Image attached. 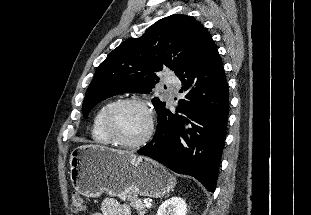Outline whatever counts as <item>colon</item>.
Masks as SVG:
<instances>
[{"mask_svg": "<svg viewBox=\"0 0 311 215\" xmlns=\"http://www.w3.org/2000/svg\"><path fill=\"white\" fill-rule=\"evenodd\" d=\"M71 209L74 212H83L86 209L85 200L77 193H74L72 196Z\"/></svg>", "mask_w": 311, "mask_h": 215, "instance_id": "5ec220e1", "label": "colon"}]
</instances>
